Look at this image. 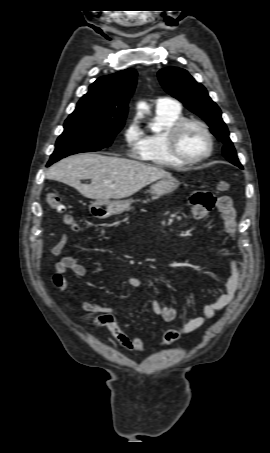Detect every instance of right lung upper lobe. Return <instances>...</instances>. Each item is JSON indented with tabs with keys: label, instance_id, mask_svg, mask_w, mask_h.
<instances>
[{
	"label": "right lung upper lobe",
	"instance_id": "obj_1",
	"mask_svg": "<svg viewBox=\"0 0 270 453\" xmlns=\"http://www.w3.org/2000/svg\"><path fill=\"white\" fill-rule=\"evenodd\" d=\"M137 72L126 69L98 78L77 103L72 116H95L102 119L125 121L128 101L134 92Z\"/></svg>",
	"mask_w": 270,
	"mask_h": 453
}]
</instances>
